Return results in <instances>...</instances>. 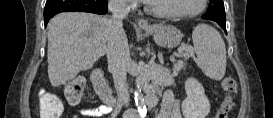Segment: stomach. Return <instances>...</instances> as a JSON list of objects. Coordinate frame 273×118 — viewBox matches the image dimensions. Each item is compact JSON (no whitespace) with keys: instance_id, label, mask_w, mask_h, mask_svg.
<instances>
[{"instance_id":"0dacf381","label":"stomach","mask_w":273,"mask_h":118,"mask_svg":"<svg viewBox=\"0 0 273 118\" xmlns=\"http://www.w3.org/2000/svg\"><path fill=\"white\" fill-rule=\"evenodd\" d=\"M145 30L153 36L157 45L166 48L178 46L183 37L181 31L171 25H153Z\"/></svg>"}]
</instances>
